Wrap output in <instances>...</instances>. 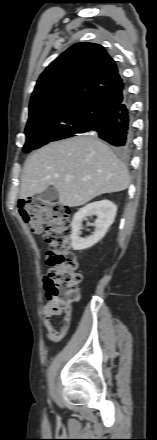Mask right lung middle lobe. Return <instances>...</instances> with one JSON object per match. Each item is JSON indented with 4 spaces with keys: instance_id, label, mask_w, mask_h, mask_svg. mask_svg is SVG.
I'll use <instances>...</instances> for the list:
<instances>
[{
    "instance_id": "obj_1",
    "label": "right lung middle lobe",
    "mask_w": 157,
    "mask_h": 440,
    "mask_svg": "<svg viewBox=\"0 0 157 440\" xmlns=\"http://www.w3.org/2000/svg\"><path fill=\"white\" fill-rule=\"evenodd\" d=\"M84 124L70 121H28L25 128L26 143L23 147L25 153L38 149L50 141L61 140L68 137L78 136L84 131Z\"/></svg>"
}]
</instances>
